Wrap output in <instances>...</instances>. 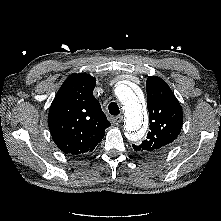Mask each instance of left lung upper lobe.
<instances>
[{
  "label": "left lung upper lobe",
  "mask_w": 221,
  "mask_h": 221,
  "mask_svg": "<svg viewBox=\"0 0 221 221\" xmlns=\"http://www.w3.org/2000/svg\"><path fill=\"white\" fill-rule=\"evenodd\" d=\"M146 91L150 131L140 145L133 144V149L155 157L165 153L177 139L183 125V112L172 90L161 78L148 77Z\"/></svg>",
  "instance_id": "1"
}]
</instances>
